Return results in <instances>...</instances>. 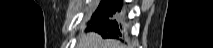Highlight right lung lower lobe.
<instances>
[{
    "label": "right lung lower lobe",
    "instance_id": "1",
    "mask_svg": "<svg viewBox=\"0 0 213 48\" xmlns=\"http://www.w3.org/2000/svg\"><path fill=\"white\" fill-rule=\"evenodd\" d=\"M121 0H101L99 7L92 16L91 26L88 30L99 32L104 38H119L122 36L116 19H119L117 12L121 11Z\"/></svg>",
    "mask_w": 213,
    "mask_h": 48
}]
</instances>
